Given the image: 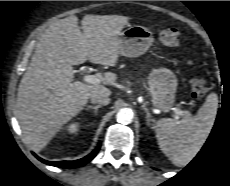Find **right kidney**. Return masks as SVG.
Listing matches in <instances>:
<instances>
[{"label":"right kidney","mask_w":230,"mask_h":186,"mask_svg":"<svg viewBox=\"0 0 230 186\" xmlns=\"http://www.w3.org/2000/svg\"><path fill=\"white\" fill-rule=\"evenodd\" d=\"M79 124L78 123H72L68 126L67 131L69 133H76L79 130Z\"/></svg>","instance_id":"obj_1"}]
</instances>
